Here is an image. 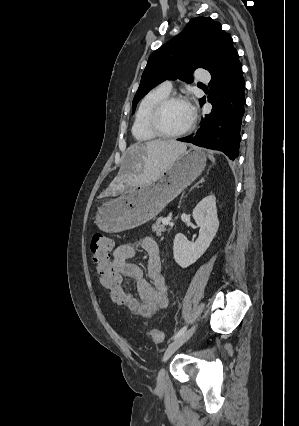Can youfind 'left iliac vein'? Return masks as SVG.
I'll return each instance as SVG.
<instances>
[{"mask_svg":"<svg viewBox=\"0 0 299 426\" xmlns=\"http://www.w3.org/2000/svg\"><path fill=\"white\" fill-rule=\"evenodd\" d=\"M196 326L193 325L189 330H187L184 334L174 340L165 350L162 362L165 363L172 354L179 349L194 333ZM165 383V369L162 367L157 376V387L162 388Z\"/></svg>","mask_w":299,"mask_h":426,"instance_id":"obj_1","label":"left iliac vein"}]
</instances>
